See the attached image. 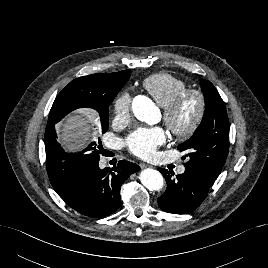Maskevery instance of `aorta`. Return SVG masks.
Instances as JSON below:
<instances>
[{"instance_id": "762f6f07", "label": "aorta", "mask_w": 268, "mask_h": 268, "mask_svg": "<svg viewBox=\"0 0 268 268\" xmlns=\"http://www.w3.org/2000/svg\"><path fill=\"white\" fill-rule=\"evenodd\" d=\"M132 110L135 117L150 125L158 123L160 112L154 103L145 96H136L132 102ZM141 183L149 190H160L163 187V176L154 169H144L140 173Z\"/></svg>"}]
</instances>
